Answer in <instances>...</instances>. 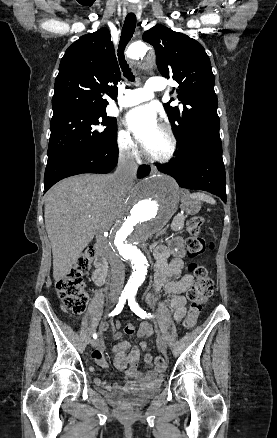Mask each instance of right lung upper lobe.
I'll list each match as a JSON object with an SVG mask.
<instances>
[{
  "label": "right lung upper lobe",
  "instance_id": "cb5924a9",
  "mask_svg": "<svg viewBox=\"0 0 277 438\" xmlns=\"http://www.w3.org/2000/svg\"><path fill=\"white\" fill-rule=\"evenodd\" d=\"M110 38L109 30L101 28L66 50L55 80L53 116L106 113L103 96L117 98L120 69Z\"/></svg>",
  "mask_w": 277,
  "mask_h": 438
}]
</instances>
